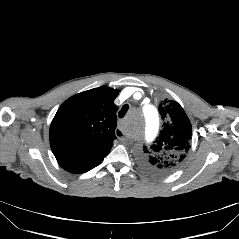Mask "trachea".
<instances>
[{
    "label": "trachea",
    "instance_id": "3493384b",
    "mask_svg": "<svg viewBox=\"0 0 239 239\" xmlns=\"http://www.w3.org/2000/svg\"><path fill=\"white\" fill-rule=\"evenodd\" d=\"M129 109V105H124L118 113L119 118H123Z\"/></svg>",
    "mask_w": 239,
    "mask_h": 239
}]
</instances>
